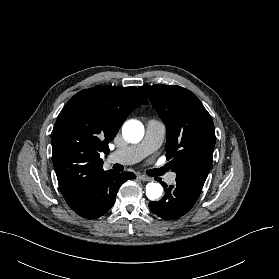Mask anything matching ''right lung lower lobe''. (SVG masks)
<instances>
[{
	"label": "right lung lower lobe",
	"mask_w": 279,
	"mask_h": 279,
	"mask_svg": "<svg viewBox=\"0 0 279 279\" xmlns=\"http://www.w3.org/2000/svg\"><path fill=\"white\" fill-rule=\"evenodd\" d=\"M135 177L130 172H104L93 184L86 200L73 210L83 218H99L114 205L119 187Z\"/></svg>",
	"instance_id": "1"
}]
</instances>
